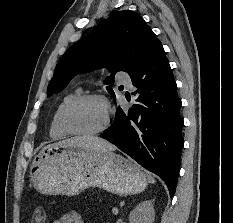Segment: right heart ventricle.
I'll return each instance as SVG.
<instances>
[{
  "mask_svg": "<svg viewBox=\"0 0 233 223\" xmlns=\"http://www.w3.org/2000/svg\"><path fill=\"white\" fill-rule=\"evenodd\" d=\"M82 90L76 88L63 96V98L57 104L55 111L53 113L50 126H49V135L52 139L58 140L67 137L69 134L65 132L60 125V114L63 108L74 98L80 96Z\"/></svg>",
  "mask_w": 233,
  "mask_h": 223,
  "instance_id": "right-heart-ventricle-1",
  "label": "right heart ventricle"
}]
</instances>
